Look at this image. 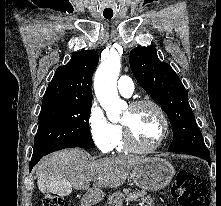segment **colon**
I'll use <instances>...</instances> for the list:
<instances>
[{
    "label": "colon",
    "instance_id": "obj_1",
    "mask_svg": "<svg viewBox=\"0 0 221 206\" xmlns=\"http://www.w3.org/2000/svg\"><path fill=\"white\" fill-rule=\"evenodd\" d=\"M173 193L181 206H209L207 188L203 181L187 170L179 171L175 176ZM42 206H69L66 199L58 194H45Z\"/></svg>",
    "mask_w": 221,
    "mask_h": 206
}]
</instances>
